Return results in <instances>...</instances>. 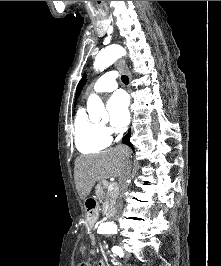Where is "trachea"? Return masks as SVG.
I'll return each mask as SVG.
<instances>
[{"label": "trachea", "instance_id": "3493384b", "mask_svg": "<svg viewBox=\"0 0 221 266\" xmlns=\"http://www.w3.org/2000/svg\"><path fill=\"white\" fill-rule=\"evenodd\" d=\"M121 80H122V82H123L124 84H126V85L129 83V79H128V77L125 76V75H122V76H121Z\"/></svg>", "mask_w": 221, "mask_h": 266}]
</instances>
